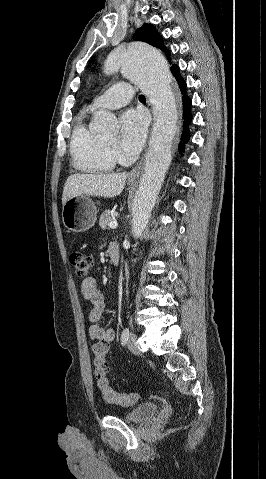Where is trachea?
<instances>
[{
	"instance_id": "obj_1",
	"label": "trachea",
	"mask_w": 266,
	"mask_h": 479,
	"mask_svg": "<svg viewBox=\"0 0 266 479\" xmlns=\"http://www.w3.org/2000/svg\"><path fill=\"white\" fill-rule=\"evenodd\" d=\"M139 100H146L144 95L139 96Z\"/></svg>"
}]
</instances>
